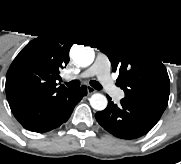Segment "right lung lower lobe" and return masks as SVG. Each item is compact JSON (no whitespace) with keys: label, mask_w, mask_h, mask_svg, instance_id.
Returning <instances> with one entry per match:
<instances>
[{"label":"right lung lower lobe","mask_w":181,"mask_h":164,"mask_svg":"<svg viewBox=\"0 0 181 164\" xmlns=\"http://www.w3.org/2000/svg\"><path fill=\"white\" fill-rule=\"evenodd\" d=\"M87 94L86 86L67 89L46 102H20L10 105L15 118L27 130L47 132L70 117L75 105Z\"/></svg>","instance_id":"98d812e1"}]
</instances>
